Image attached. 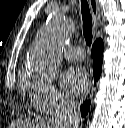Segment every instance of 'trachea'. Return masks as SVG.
<instances>
[{"label": "trachea", "instance_id": "trachea-1", "mask_svg": "<svg viewBox=\"0 0 125 128\" xmlns=\"http://www.w3.org/2000/svg\"><path fill=\"white\" fill-rule=\"evenodd\" d=\"M81 14L83 21V35L87 45L92 43V17L87 0H81Z\"/></svg>", "mask_w": 125, "mask_h": 128}]
</instances>
